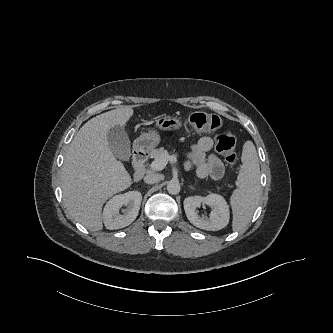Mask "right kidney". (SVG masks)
<instances>
[{"label":"right kidney","instance_id":"1","mask_svg":"<svg viewBox=\"0 0 333 333\" xmlns=\"http://www.w3.org/2000/svg\"><path fill=\"white\" fill-rule=\"evenodd\" d=\"M142 194L138 191H129L111 198L104 207L103 221L105 227L110 230L124 228L130 225L138 216ZM126 205V209L119 213L120 208Z\"/></svg>","mask_w":333,"mask_h":333}]
</instances>
